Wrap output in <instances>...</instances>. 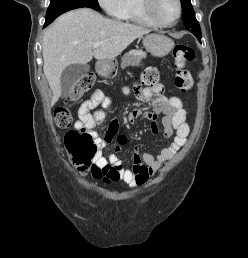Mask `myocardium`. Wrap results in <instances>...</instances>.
I'll use <instances>...</instances> for the list:
<instances>
[{
	"mask_svg": "<svg viewBox=\"0 0 248 258\" xmlns=\"http://www.w3.org/2000/svg\"><path fill=\"white\" fill-rule=\"evenodd\" d=\"M142 1H143L142 6H143L144 13L154 26L163 27V28L171 27V26H174L181 17V14H182L181 0H175L176 4H177V15H176L175 19L169 23L160 21L154 14L153 4H154L155 0H142Z\"/></svg>",
	"mask_w": 248,
	"mask_h": 258,
	"instance_id": "f54148a6",
	"label": "myocardium"
}]
</instances>
